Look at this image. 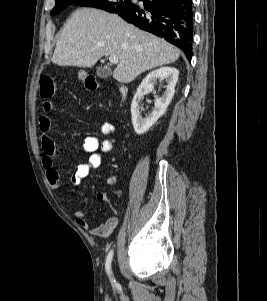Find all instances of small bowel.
Masks as SVG:
<instances>
[{
	"instance_id": "obj_1",
	"label": "small bowel",
	"mask_w": 267,
	"mask_h": 301,
	"mask_svg": "<svg viewBox=\"0 0 267 301\" xmlns=\"http://www.w3.org/2000/svg\"><path fill=\"white\" fill-rule=\"evenodd\" d=\"M42 113L38 119V128L41 132V141L43 149L42 165L46 171L48 182L52 189L58 190L60 188L59 173L54 167V157L56 156L58 149L55 142L49 135L51 128V119L49 113L53 109V104L50 100L45 99L42 102ZM116 133V127L111 122H104L101 125V134L105 137L100 140L97 136H88L83 140L82 149L85 153L89 154L88 160L85 163H79L74 172L71 175L70 182L74 186H79L82 179L86 178L91 169L98 168L101 165L102 157L112 151L115 145L114 135ZM113 178L108 179V183H112ZM96 199L99 202H107L108 197L104 192H99L96 195ZM77 224L88 231L91 235L107 238L117 228L119 219L116 214L110 216L103 224L98 226L92 225L86 219L84 212L80 210L74 211Z\"/></svg>"
}]
</instances>
